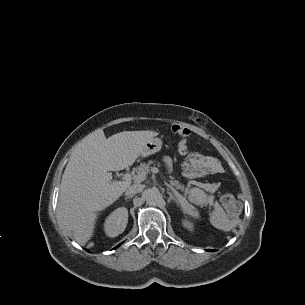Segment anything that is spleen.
Here are the masks:
<instances>
[{
    "label": "spleen",
    "mask_w": 305,
    "mask_h": 305,
    "mask_svg": "<svg viewBox=\"0 0 305 305\" xmlns=\"http://www.w3.org/2000/svg\"><path fill=\"white\" fill-rule=\"evenodd\" d=\"M183 212L187 214L189 217L194 218V219H199L200 213L197 208H195L192 205H185L183 207ZM212 220L214 224L220 228V229H226V219L224 212L222 211L221 208H218L214 211Z\"/></svg>",
    "instance_id": "1"
}]
</instances>
